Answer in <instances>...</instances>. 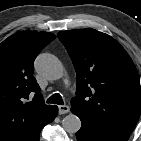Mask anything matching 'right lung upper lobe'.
<instances>
[{"mask_svg":"<svg viewBox=\"0 0 141 141\" xmlns=\"http://www.w3.org/2000/svg\"><path fill=\"white\" fill-rule=\"evenodd\" d=\"M55 37L26 31L0 44V141H26L50 115L33 72L36 56ZM29 94L32 101L24 103Z\"/></svg>","mask_w":141,"mask_h":141,"instance_id":"right-lung-upper-lobe-1","label":"right lung upper lobe"}]
</instances>
